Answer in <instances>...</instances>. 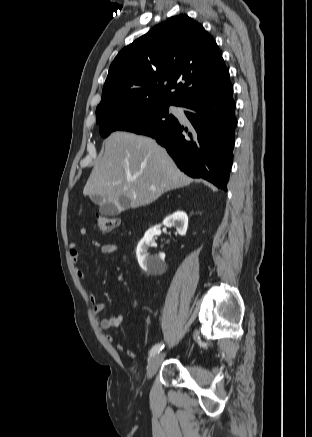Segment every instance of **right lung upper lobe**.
<instances>
[{
    "instance_id": "cb5924a9",
    "label": "right lung upper lobe",
    "mask_w": 312,
    "mask_h": 437,
    "mask_svg": "<svg viewBox=\"0 0 312 437\" xmlns=\"http://www.w3.org/2000/svg\"><path fill=\"white\" fill-rule=\"evenodd\" d=\"M228 75L214 38L187 15L174 16L116 56L96 118L133 104L164 102L181 106L216 87Z\"/></svg>"
}]
</instances>
